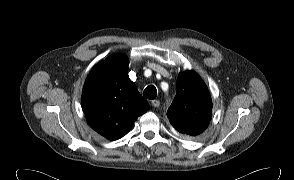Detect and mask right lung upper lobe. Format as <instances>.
<instances>
[{"instance_id":"right-lung-upper-lobe-1","label":"right lung upper lobe","mask_w":294,"mask_h":180,"mask_svg":"<svg viewBox=\"0 0 294 180\" xmlns=\"http://www.w3.org/2000/svg\"><path fill=\"white\" fill-rule=\"evenodd\" d=\"M83 111L89 125L110 140L123 137L149 104L128 76V59L112 55L99 62L82 91Z\"/></svg>"}]
</instances>
